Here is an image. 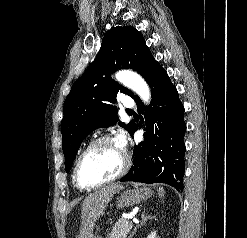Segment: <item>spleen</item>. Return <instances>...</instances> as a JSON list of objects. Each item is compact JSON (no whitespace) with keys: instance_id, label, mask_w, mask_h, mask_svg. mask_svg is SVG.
<instances>
[{"instance_id":"spleen-1","label":"spleen","mask_w":247,"mask_h":238,"mask_svg":"<svg viewBox=\"0 0 247 238\" xmlns=\"http://www.w3.org/2000/svg\"><path fill=\"white\" fill-rule=\"evenodd\" d=\"M159 196L160 197L164 196V190L162 187H159Z\"/></svg>"}]
</instances>
